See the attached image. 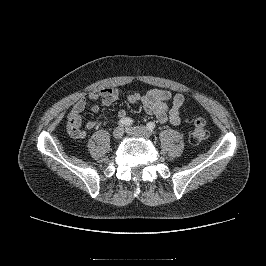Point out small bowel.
<instances>
[{
  "instance_id": "obj_1",
  "label": "small bowel",
  "mask_w": 266,
  "mask_h": 266,
  "mask_svg": "<svg viewBox=\"0 0 266 266\" xmlns=\"http://www.w3.org/2000/svg\"><path fill=\"white\" fill-rule=\"evenodd\" d=\"M120 97L116 88H103L88 93L79 99L67 116V130L76 139L86 137L88 130L96 127L98 121L83 123L82 113L86 110L97 112L101 107L110 106ZM131 104L141 103L146 113L157 118L160 123L170 122L174 126L181 124V114L186 110L185 100L181 94H172L164 89H151L146 94L129 93L125 95ZM171 102V106L168 105ZM120 118L126 116L124 110L118 112Z\"/></svg>"
}]
</instances>
